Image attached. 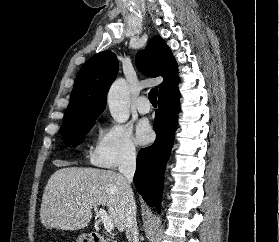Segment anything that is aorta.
Returning <instances> with one entry per match:
<instances>
[{"instance_id": "762f6f07", "label": "aorta", "mask_w": 279, "mask_h": 242, "mask_svg": "<svg viewBox=\"0 0 279 242\" xmlns=\"http://www.w3.org/2000/svg\"><path fill=\"white\" fill-rule=\"evenodd\" d=\"M108 106L113 120L124 123L130 116V97L127 83L124 79L116 80L108 93Z\"/></svg>"}]
</instances>
